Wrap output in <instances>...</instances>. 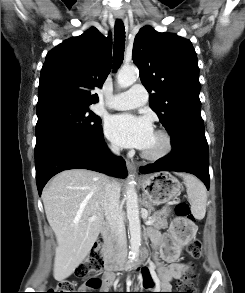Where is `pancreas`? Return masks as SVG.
<instances>
[{
	"instance_id": "pancreas-1",
	"label": "pancreas",
	"mask_w": 245,
	"mask_h": 293,
	"mask_svg": "<svg viewBox=\"0 0 245 293\" xmlns=\"http://www.w3.org/2000/svg\"><path fill=\"white\" fill-rule=\"evenodd\" d=\"M149 219L152 221V227L156 229H165L168 227L167 217L164 216L161 212H154ZM108 244L112 249L113 244L111 239H108Z\"/></svg>"
}]
</instances>
